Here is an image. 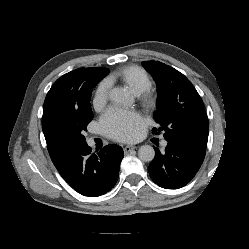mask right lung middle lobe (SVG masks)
Segmentation results:
<instances>
[{
    "mask_svg": "<svg viewBox=\"0 0 249 249\" xmlns=\"http://www.w3.org/2000/svg\"><path fill=\"white\" fill-rule=\"evenodd\" d=\"M109 73V69L95 68L88 80L81 100L77 106L69 107L64 114L58 116L54 121V135L63 147L82 145L86 143L84 131L93 119L91 110L92 89Z\"/></svg>",
    "mask_w": 249,
    "mask_h": 249,
    "instance_id": "obj_1",
    "label": "right lung middle lobe"
}]
</instances>
